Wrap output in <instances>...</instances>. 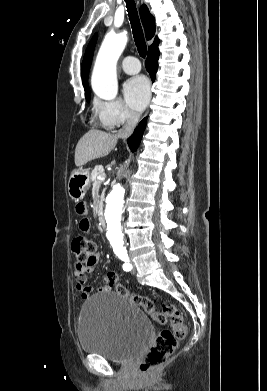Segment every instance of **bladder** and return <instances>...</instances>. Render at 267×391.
<instances>
[{
  "instance_id": "obj_1",
  "label": "bladder",
  "mask_w": 267,
  "mask_h": 391,
  "mask_svg": "<svg viewBox=\"0 0 267 391\" xmlns=\"http://www.w3.org/2000/svg\"><path fill=\"white\" fill-rule=\"evenodd\" d=\"M152 331L145 313L113 291L91 297L80 310L78 338L82 350L109 361L122 363L136 357Z\"/></svg>"
}]
</instances>
